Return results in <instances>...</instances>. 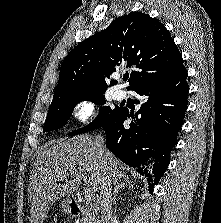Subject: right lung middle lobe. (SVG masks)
I'll list each match as a JSON object with an SVG mask.
<instances>
[{
	"label": "right lung middle lobe",
	"mask_w": 221,
	"mask_h": 223,
	"mask_svg": "<svg viewBox=\"0 0 221 223\" xmlns=\"http://www.w3.org/2000/svg\"><path fill=\"white\" fill-rule=\"evenodd\" d=\"M103 93L104 92L79 94L53 101L49 108L43 132H48L50 130L58 129L64 126L70 118L74 107L80 101L87 100L100 105L106 103ZM119 110V107H115L112 109L109 106H104L100 108L99 115L89 125L75 130L69 135L72 136L100 128L107 121H109Z\"/></svg>",
	"instance_id": "obj_1"
}]
</instances>
